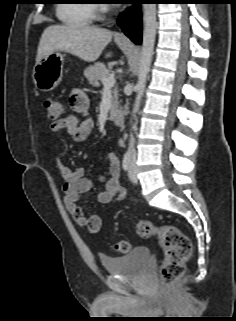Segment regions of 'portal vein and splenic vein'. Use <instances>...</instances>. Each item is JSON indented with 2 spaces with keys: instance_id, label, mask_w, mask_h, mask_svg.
Segmentation results:
<instances>
[{
  "instance_id": "obj_1",
  "label": "portal vein and splenic vein",
  "mask_w": 236,
  "mask_h": 321,
  "mask_svg": "<svg viewBox=\"0 0 236 321\" xmlns=\"http://www.w3.org/2000/svg\"><path fill=\"white\" fill-rule=\"evenodd\" d=\"M115 82L116 80L113 75L102 79V83L105 87H112L114 86Z\"/></svg>"
}]
</instances>
